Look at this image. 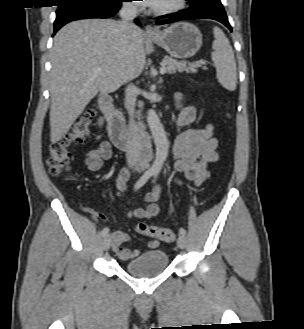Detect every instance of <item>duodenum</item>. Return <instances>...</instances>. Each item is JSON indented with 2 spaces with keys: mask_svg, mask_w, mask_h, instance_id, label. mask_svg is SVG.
I'll return each instance as SVG.
<instances>
[{
  "mask_svg": "<svg viewBox=\"0 0 304 329\" xmlns=\"http://www.w3.org/2000/svg\"><path fill=\"white\" fill-rule=\"evenodd\" d=\"M101 109L108 121L109 136L114 145L121 149H132L141 139H145L142 134L136 138L132 131L127 129L122 114L113 107L112 98L108 94H101L99 97Z\"/></svg>",
  "mask_w": 304,
  "mask_h": 329,
  "instance_id": "1",
  "label": "duodenum"
}]
</instances>
